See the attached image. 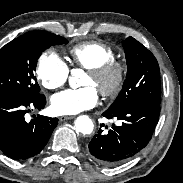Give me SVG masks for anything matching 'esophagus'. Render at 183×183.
Masks as SVG:
<instances>
[{
  "label": "esophagus",
  "instance_id": "34e87169",
  "mask_svg": "<svg viewBox=\"0 0 183 183\" xmlns=\"http://www.w3.org/2000/svg\"><path fill=\"white\" fill-rule=\"evenodd\" d=\"M73 119V116H60L59 120L62 121H66V120H70Z\"/></svg>",
  "mask_w": 183,
  "mask_h": 183
}]
</instances>
